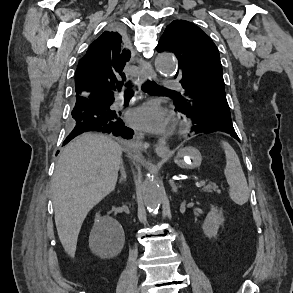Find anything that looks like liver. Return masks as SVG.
Returning <instances> with one entry per match:
<instances>
[{
	"label": "liver",
	"instance_id": "6515ba94",
	"mask_svg": "<svg viewBox=\"0 0 293 293\" xmlns=\"http://www.w3.org/2000/svg\"><path fill=\"white\" fill-rule=\"evenodd\" d=\"M121 162L122 147L101 134H82L62 151L51 187L58 236L69 256L89 211L115 189Z\"/></svg>",
	"mask_w": 293,
	"mask_h": 293
}]
</instances>
